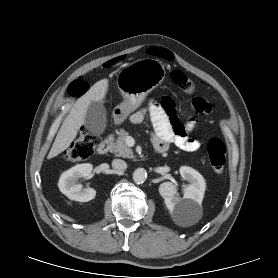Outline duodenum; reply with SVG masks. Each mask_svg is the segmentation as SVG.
<instances>
[{
  "mask_svg": "<svg viewBox=\"0 0 278 278\" xmlns=\"http://www.w3.org/2000/svg\"><path fill=\"white\" fill-rule=\"evenodd\" d=\"M114 136L109 135L104 141L100 143V145L97 148V152L100 155L107 154L113 146ZM156 150V149H155ZM156 152H160L159 150H156Z\"/></svg>",
  "mask_w": 278,
  "mask_h": 278,
  "instance_id": "410a0bca",
  "label": "duodenum"
}]
</instances>
